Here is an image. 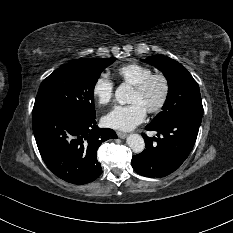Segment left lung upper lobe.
I'll return each instance as SVG.
<instances>
[{"mask_svg": "<svg viewBox=\"0 0 233 233\" xmlns=\"http://www.w3.org/2000/svg\"><path fill=\"white\" fill-rule=\"evenodd\" d=\"M143 61L162 71L169 86L162 111L149 125L160 126L192 107L202 106L197 82L180 63L161 55H153Z\"/></svg>", "mask_w": 233, "mask_h": 233, "instance_id": "obj_1", "label": "left lung upper lobe"}]
</instances>
